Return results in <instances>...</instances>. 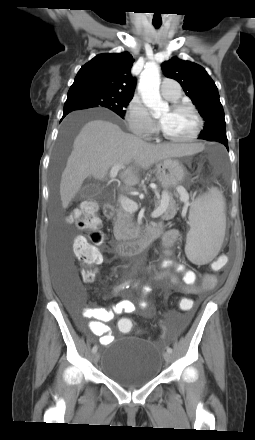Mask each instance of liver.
Masks as SVG:
<instances>
[{
  "label": "liver",
  "instance_id": "obj_1",
  "mask_svg": "<svg viewBox=\"0 0 255 440\" xmlns=\"http://www.w3.org/2000/svg\"><path fill=\"white\" fill-rule=\"evenodd\" d=\"M202 149L203 145L199 143L150 144L123 132L112 122L91 120L76 136L62 173V207H68L86 178L93 176L103 180L114 165L122 164L121 179L125 185L135 186L139 182V168L148 169L159 161L192 155Z\"/></svg>",
  "mask_w": 255,
  "mask_h": 440
}]
</instances>
